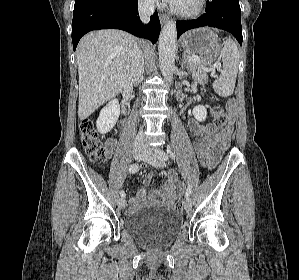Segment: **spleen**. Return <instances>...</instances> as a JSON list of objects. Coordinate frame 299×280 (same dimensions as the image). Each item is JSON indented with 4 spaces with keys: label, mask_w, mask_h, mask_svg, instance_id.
<instances>
[{
    "label": "spleen",
    "mask_w": 299,
    "mask_h": 280,
    "mask_svg": "<svg viewBox=\"0 0 299 280\" xmlns=\"http://www.w3.org/2000/svg\"><path fill=\"white\" fill-rule=\"evenodd\" d=\"M222 61L223 69L220 77L213 82V89L219 96L228 97L234 91L239 64L237 45L230 38L224 42Z\"/></svg>",
    "instance_id": "3e777b00"
}]
</instances>
